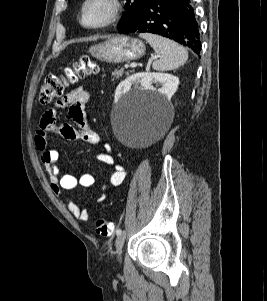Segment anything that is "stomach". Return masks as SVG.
<instances>
[{
  "label": "stomach",
  "instance_id": "1",
  "mask_svg": "<svg viewBox=\"0 0 267 301\" xmlns=\"http://www.w3.org/2000/svg\"><path fill=\"white\" fill-rule=\"evenodd\" d=\"M89 53L103 62L122 63L141 58L145 54V46L138 39L118 35L91 46Z\"/></svg>",
  "mask_w": 267,
  "mask_h": 301
}]
</instances>
